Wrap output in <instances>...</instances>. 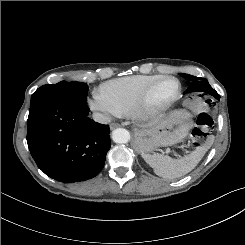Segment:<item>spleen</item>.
Wrapping results in <instances>:
<instances>
[{"label":"spleen","mask_w":245,"mask_h":245,"mask_svg":"<svg viewBox=\"0 0 245 245\" xmlns=\"http://www.w3.org/2000/svg\"><path fill=\"white\" fill-rule=\"evenodd\" d=\"M206 151L207 146H201L189 155L177 159L159 153L145 154L144 160L153 168L156 175L166 180H174L192 171L201 161Z\"/></svg>","instance_id":"1"}]
</instances>
